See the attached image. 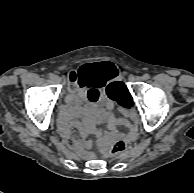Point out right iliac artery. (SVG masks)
<instances>
[{
    "instance_id": "obj_1",
    "label": "right iliac artery",
    "mask_w": 194,
    "mask_h": 193,
    "mask_svg": "<svg viewBox=\"0 0 194 193\" xmlns=\"http://www.w3.org/2000/svg\"><path fill=\"white\" fill-rule=\"evenodd\" d=\"M54 76H55V75H54L53 73H50V74H49V77H50L51 79H53Z\"/></svg>"
}]
</instances>
